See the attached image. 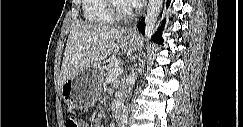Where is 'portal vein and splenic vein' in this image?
Masks as SVG:
<instances>
[{
  "mask_svg": "<svg viewBox=\"0 0 243 127\" xmlns=\"http://www.w3.org/2000/svg\"><path fill=\"white\" fill-rule=\"evenodd\" d=\"M123 70L121 68H116L110 72V75L108 78H106V82H110L117 78L118 75L122 74Z\"/></svg>",
  "mask_w": 243,
  "mask_h": 127,
  "instance_id": "portal-vein-and-splenic-vein-1",
  "label": "portal vein and splenic vein"
}]
</instances>
